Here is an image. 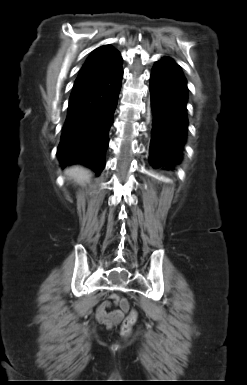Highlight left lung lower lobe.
<instances>
[{
    "mask_svg": "<svg viewBox=\"0 0 247 385\" xmlns=\"http://www.w3.org/2000/svg\"><path fill=\"white\" fill-rule=\"evenodd\" d=\"M150 92L155 117L150 162L155 167L178 164L186 141L188 94L186 79L177 63L170 58L156 62Z\"/></svg>",
    "mask_w": 247,
    "mask_h": 385,
    "instance_id": "left-lung-lower-lobe-1",
    "label": "left lung lower lobe"
}]
</instances>
